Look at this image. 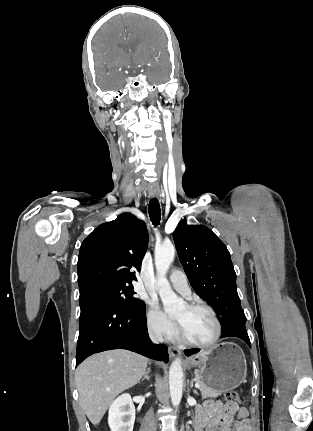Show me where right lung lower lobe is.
Returning <instances> with one entry per match:
<instances>
[{"mask_svg":"<svg viewBox=\"0 0 313 431\" xmlns=\"http://www.w3.org/2000/svg\"><path fill=\"white\" fill-rule=\"evenodd\" d=\"M80 307L76 366L94 353L120 348L168 362L167 347L151 344L145 308L130 310L103 299L87 301Z\"/></svg>","mask_w":313,"mask_h":431,"instance_id":"98d812e1","label":"right lung lower lobe"}]
</instances>
